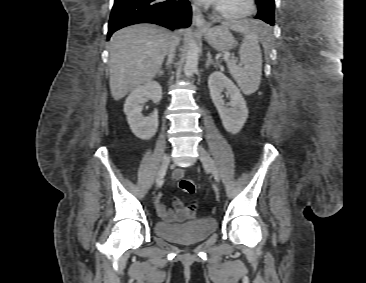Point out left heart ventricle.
Instances as JSON below:
<instances>
[{"mask_svg":"<svg viewBox=\"0 0 366 283\" xmlns=\"http://www.w3.org/2000/svg\"><path fill=\"white\" fill-rule=\"evenodd\" d=\"M217 4L232 11L242 10L246 6L245 0H220Z\"/></svg>","mask_w":366,"mask_h":283,"instance_id":"left-heart-ventricle-1","label":"left heart ventricle"}]
</instances>
